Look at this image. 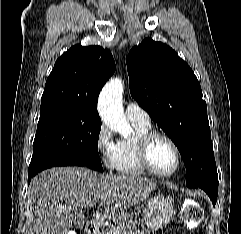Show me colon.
I'll return each instance as SVG.
<instances>
[{
	"instance_id": "colon-1",
	"label": "colon",
	"mask_w": 241,
	"mask_h": 234,
	"mask_svg": "<svg viewBox=\"0 0 241 234\" xmlns=\"http://www.w3.org/2000/svg\"><path fill=\"white\" fill-rule=\"evenodd\" d=\"M203 217L200 205L194 201L188 202L182 211V220L188 228H195Z\"/></svg>"
}]
</instances>
